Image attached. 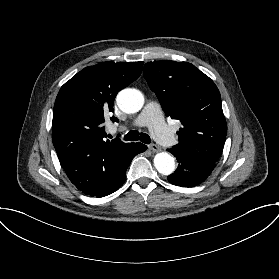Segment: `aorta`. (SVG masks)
<instances>
[{
    "label": "aorta",
    "instance_id": "obj_1",
    "mask_svg": "<svg viewBox=\"0 0 279 279\" xmlns=\"http://www.w3.org/2000/svg\"><path fill=\"white\" fill-rule=\"evenodd\" d=\"M117 105L125 113H136L144 105V96L134 88L121 90L117 95ZM154 166L162 175H170L175 170V160L167 152L157 153L154 157Z\"/></svg>",
    "mask_w": 279,
    "mask_h": 279
}]
</instances>
